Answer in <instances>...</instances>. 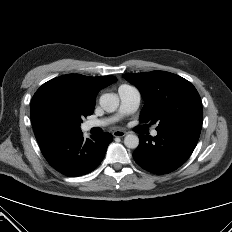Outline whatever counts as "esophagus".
I'll return each mask as SVG.
<instances>
[{
	"mask_svg": "<svg viewBox=\"0 0 232 232\" xmlns=\"http://www.w3.org/2000/svg\"><path fill=\"white\" fill-rule=\"evenodd\" d=\"M112 134L114 137H124L126 135V132H124L122 130H115V131H113Z\"/></svg>",
	"mask_w": 232,
	"mask_h": 232,
	"instance_id": "1",
	"label": "esophagus"
}]
</instances>
